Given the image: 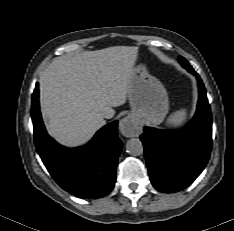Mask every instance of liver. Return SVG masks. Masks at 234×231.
<instances>
[{
  "label": "liver",
  "instance_id": "6515ba94",
  "mask_svg": "<svg viewBox=\"0 0 234 231\" xmlns=\"http://www.w3.org/2000/svg\"><path fill=\"white\" fill-rule=\"evenodd\" d=\"M132 47L83 52L51 64L40 79L41 111L49 134L75 147L86 143L104 124L109 106L125 98Z\"/></svg>",
  "mask_w": 234,
  "mask_h": 231
}]
</instances>
